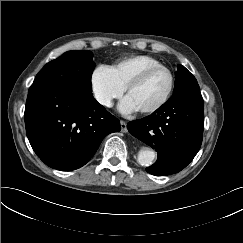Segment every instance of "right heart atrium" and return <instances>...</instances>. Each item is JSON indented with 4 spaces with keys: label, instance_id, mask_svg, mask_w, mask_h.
<instances>
[{
    "label": "right heart atrium",
    "instance_id": "right-heart-atrium-1",
    "mask_svg": "<svg viewBox=\"0 0 243 243\" xmlns=\"http://www.w3.org/2000/svg\"><path fill=\"white\" fill-rule=\"evenodd\" d=\"M91 87L95 99L105 108L111 107L123 94L122 88L114 80L107 65H99L94 70L91 76Z\"/></svg>",
    "mask_w": 243,
    "mask_h": 243
}]
</instances>
